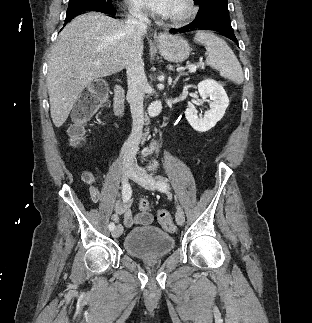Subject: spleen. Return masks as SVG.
<instances>
[{
  "instance_id": "obj_1",
  "label": "spleen",
  "mask_w": 312,
  "mask_h": 323,
  "mask_svg": "<svg viewBox=\"0 0 312 323\" xmlns=\"http://www.w3.org/2000/svg\"><path fill=\"white\" fill-rule=\"evenodd\" d=\"M198 44H204L206 50V62L220 72V76L232 80L235 84H243L244 76L242 68L228 44L212 34L210 30H197L194 38Z\"/></svg>"
}]
</instances>
